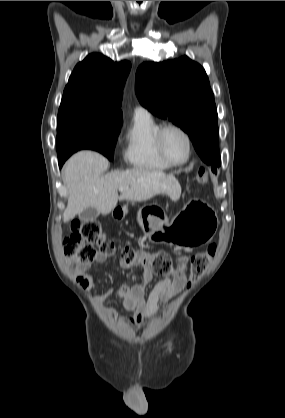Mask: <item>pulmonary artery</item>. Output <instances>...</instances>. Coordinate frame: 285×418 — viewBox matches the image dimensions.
<instances>
[{
	"mask_svg": "<svg viewBox=\"0 0 285 418\" xmlns=\"http://www.w3.org/2000/svg\"><path fill=\"white\" fill-rule=\"evenodd\" d=\"M149 116H150L149 111L142 107L136 108L133 113V118H146Z\"/></svg>",
	"mask_w": 285,
	"mask_h": 418,
	"instance_id": "obj_1",
	"label": "pulmonary artery"
}]
</instances>
